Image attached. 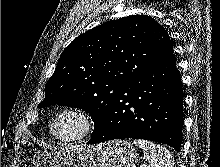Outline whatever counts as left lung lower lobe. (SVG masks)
Wrapping results in <instances>:
<instances>
[{"mask_svg":"<svg viewBox=\"0 0 220 167\" xmlns=\"http://www.w3.org/2000/svg\"><path fill=\"white\" fill-rule=\"evenodd\" d=\"M174 53L130 80L87 144L140 138L181 148L183 91Z\"/></svg>","mask_w":220,"mask_h":167,"instance_id":"obj_1","label":"left lung lower lobe"}]
</instances>
